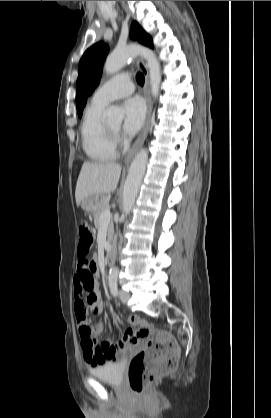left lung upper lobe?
<instances>
[{
	"instance_id": "left-lung-upper-lobe-1",
	"label": "left lung upper lobe",
	"mask_w": 271,
	"mask_h": 418,
	"mask_svg": "<svg viewBox=\"0 0 271 418\" xmlns=\"http://www.w3.org/2000/svg\"><path fill=\"white\" fill-rule=\"evenodd\" d=\"M131 38L153 48L152 38L137 22L132 23ZM108 51V45L98 42L87 49L80 60L76 83V107L79 117L82 115L87 97L94 91L100 81L103 62Z\"/></svg>"
}]
</instances>
